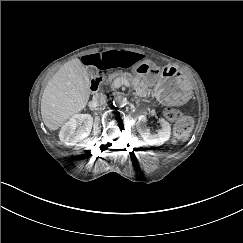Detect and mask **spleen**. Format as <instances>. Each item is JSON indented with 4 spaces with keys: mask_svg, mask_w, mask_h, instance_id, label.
<instances>
[{
    "mask_svg": "<svg viewBox=\"0 0 243 243\" xmlns=\"http://www.w3.org/2000/svg\"><path fill=\"white\" fill-rule=\"evenodd\" d=\"M189 136H190V131H187V132L183 133V135H182V141L183 142L187 141L188 138H189Z\"/></svg>",
    "mask_w": 243,
    "mask_h": 243,
    "instance_id": "1",
    "label": "spleen"
}]
</instances>
